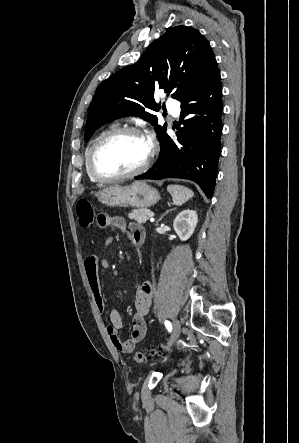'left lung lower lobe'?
Instances as JSON below:
<instances>
[{"label":"left lung lower lobe","instance_id":"left-lung-lower-lobe-1","mask_svg":"<svg viewBox=\"0 0 299 443\" xmlns=\"http://www.w3.org/2000/svg\"><path fill=\"white\" fill-rule=\"evenodd\" d=\"M181 102L180 120L184 127L176 133L177 139L165 133L158 160L135 179H190L211 198L222 131V87L216 60Z\"/></svg>","mask_w":299,"mask_h":443}]
</instances>
